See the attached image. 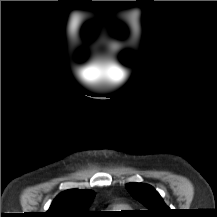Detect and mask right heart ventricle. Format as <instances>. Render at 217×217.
<instances>
[{
  "label": "right heart ventricle",
  "mask_w": 217,
  "mask_h": 217,
  "mask_svg": "<svg viewBox=\"0 0 217 217\" xmlns=\"http://www.w3.org/2000/svg\"><path fill=\"white\" fill-rule=\"evenodd\" d=\"M126 209H128V206L124 204H114L109 207V211L113 214H119L121 212H124Z\"/></svg>",
  "instance_id": "e07e8e85"
}]
</instances>
